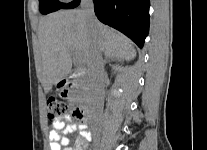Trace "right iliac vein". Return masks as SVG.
<instances>
[{"label":"right iliac vein","mask_w":207,"mask_h":150,"mask_svg":"<svg viewBox=\"0 0 207 150\" xmlns=\"http://www.w3.org/2000/svg\"><path fill=\"white\" fill-rule=\"evenodd\" d=\"M96 150H101V148L97 147Z\"/></svg>","instance_id":"1"}]
</instances>
